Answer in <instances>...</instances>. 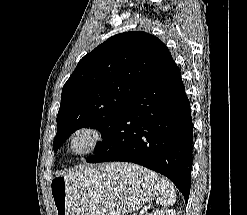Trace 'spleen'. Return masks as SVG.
<instances>
[{"mask_svg":"<svg viewBox=\"0 0 247 215\" xmlns=\"http://www.w3.org/2000/svg\"><path fill=\"white\" fill-rule=\"evenodd\" d=\"M161 205L166 207L176 202V192L173 184L167 178H161L160 189Z\"/></svg>","mask_w":247,"mask_h":215,"instance_id":"spleen-1","label":"spleen"}]
</instances>
